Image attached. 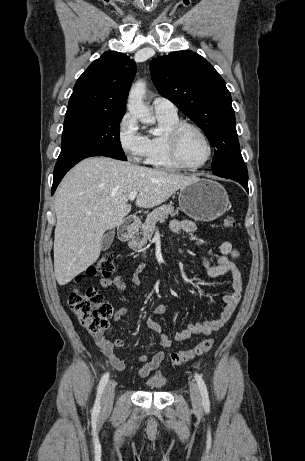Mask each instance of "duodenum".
<instances>
[{
    "instance_id": "obj_1",
    "label": "duodenum",
    "mask_w": 305,
    "mask_h": 461,
    "mask_svg": "<svg viewBox=\"0 0 305 461\" xmlns=\"http://www.w3.org/2000/svg\"><path fill=\"white\" fill-rule=\"evenodd\" d=\"M136 226V220L133 218L126 219L118 228V235L121 240H127L132 235Z\"/></svg>"
}]
</instances>
